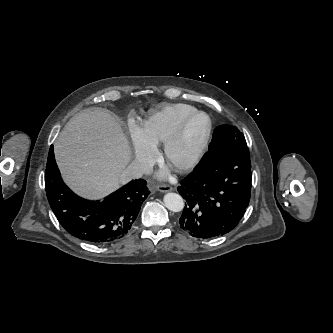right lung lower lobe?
<instances>
[{
  "label": "right lung lower lobe",
  "mask_w": 333,
  "mask_h": 333,
  "mask_svg": "<svg viewBox=\"0 0 333 333\" xmlns=\"http://www.w3.org/2000/svg\"><path fill=\"white\" fill-rule=\"evenodd\" d=\"M45 189L51 209L72 236L93 244H107L125 236L149 195L147 182L132 180L103 201H89L74 194L63 182L49 150Z\"/></svg>",
  "instance_id": "obj_1"
}]
</instances>
